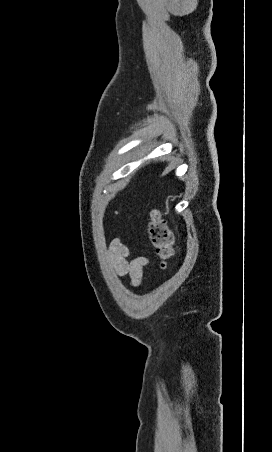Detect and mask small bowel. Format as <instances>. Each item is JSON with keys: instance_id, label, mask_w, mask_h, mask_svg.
<instances>
[{"instance_id": "1", "label": "small bowel", "mask_w": 272, "mask_h": 452, "mask_svg": "<svg viewBox=\"0 0 272 452\" xmlns=\"http://www.w3.org/2000/svg\"><path fill=\"white\" fill-rule=\"evenodd\" d=\"M108 260L118 276H129L132 286L140 284L143 268L148 264V259L143 256L130 260L128 247L118 238H114L109 245Z\"/></svg>"}]
</instances>
